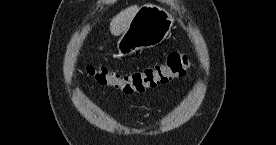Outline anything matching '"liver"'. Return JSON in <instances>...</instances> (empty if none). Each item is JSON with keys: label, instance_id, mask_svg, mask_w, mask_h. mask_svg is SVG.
Instances as JSON below:
<instances>
[{"label": "liver", "instance_id": "1", "mask_svg": "<svg viewBox=\"0 0 276 145\" xmlns=\"http://www.w3.org/2000/svg\"><path fill=\"white\" fill-rule=\"evenodd\" d=\"M138 9L139 7L137 5H133L113 17L110 23L111 34L114 36L123 34L128 29Z\"/></svg>", "mask_w": 276, "mask_h": 145}]
</instances>
